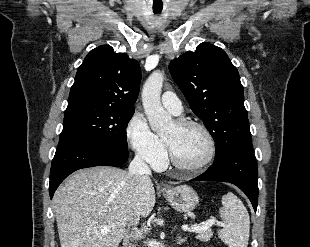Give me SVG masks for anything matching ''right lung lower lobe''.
Instances as JSON below:
<instances>
[{"label":"right lung lower lobe","mask_w":310,"mask_h":247,"mask_svg":"<svg viewBox=\"0 0 310 247\" xmlns=\"http://www.w3.org/2000/svg\"><path fill=\"white\" fill-rule=\"evenodd\" d=\"M127 149H117L99 143L73 139L59 142L51 165L49 193L52 198L60 183L72 172L94 166L123 165Z\"/></svg>","instance_id":"obj_1"}]
</instances>
